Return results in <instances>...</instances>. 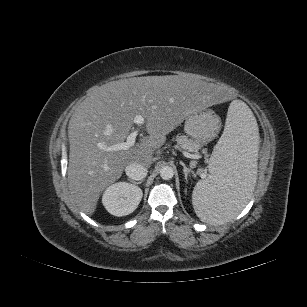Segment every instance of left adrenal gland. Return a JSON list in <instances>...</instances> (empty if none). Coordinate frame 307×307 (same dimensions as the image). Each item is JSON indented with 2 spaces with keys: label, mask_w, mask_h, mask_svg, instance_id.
Instances as JSON below:
<instances>
[{
  "label": "left adrenal gland",
  "mask_w": 307,
  "mask_h": 307,
  "mask_svg": "<svg viewBox=\"0 0 307 307\" xmlns=\"http://www.w3.org/2000/svg\"><path fill=\"white\" fill-rule=\"evenodd\" d=\"M180 164L183 166V172L187 183L188 182L187 178L189 174H194V172L191 169L187 168V166L182 161L180 162Z\"/></svg>",
  "instance_id": "left-adrenal-gland-1"
}]
</instances>
